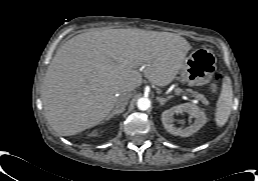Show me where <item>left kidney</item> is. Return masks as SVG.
Here are the masks:
<instances>
[{
    "instance_id": "obj_1",
    "label": "left kidney",
    "mask_w": 258,
    "mask_h": 181,
    "mask_svg": "<svg viewBox=\"0 0 258 181\" xmlns=\"http://www.w3.org/2000/svg\"><path fill=\"white\" fill-rule=\"evenodd\" d=\"M186 112L191 117L195 118L193 124L185 128H177L174 126V118L173 116L178 113ZM162 123L164 128L173 135H179L182 137H188L193 133L197 132L204 124L207 122V117L202 109H200L197 105L192 103H184L177 106H173L172 108L165 110L162 113Z\"/></svg>"
}]
</instances>
